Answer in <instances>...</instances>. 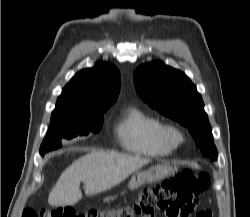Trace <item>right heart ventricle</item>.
I'll list each match as a JSON object with an SVG mask.
<instances>
[{
	"label": "right heart ventricle",
	"mask_w": 250,
	"mask_h": 217,
	"mask_svg": "<svg viewBox=\"0 0 250 217\" xmlns=\"http://www.w3.org/2000/svg\"><path fill=\"white\" fill-rule=\"evenodd\" d=\"M161 121L144 110L125 108L114 124V134L120 147L132 154L146 157H164L172 153L161 134Z\"/></svg>",
	"instance_id": "obj_1"
}]
</instances>
